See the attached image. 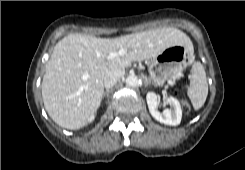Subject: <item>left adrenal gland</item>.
<instances>
[{
  "mask_svg": "<svg viewBox=\"0 0 245 170\" xmlns=\"http://www.w3.org/2000/svg\"><path fill=\"white\" fill-rule=\"evenodd\" d=\"M144 84H145V87L151 85L150 81L146 77H144Z\"/></svg>",
  "mask_w": 245,
  "mask_h": 170,
  "instance_id": "1",
  "label": "left adrenal gland"
}]
</instances>
